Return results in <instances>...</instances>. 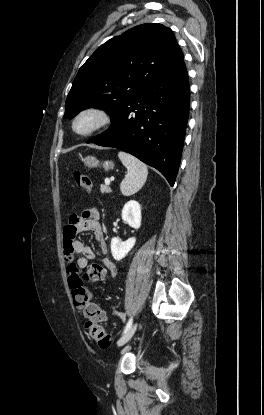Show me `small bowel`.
<instances>
[{
	"label": "small bowel",
	"mask_w": 264,
	"mask_h": 415,
	"mask_svg": "<svg viewBox=\"0 0 264 415\" xmlns=\"http://www.w3.org/2000/svg\"><path fill=\"white\" fill-rule=\"evenodd\" d=\"M100 211L97 208H89L81 215H72L64 230V258L66 262L74 264L78 270L86 268L90 260L95 258V251L76 238L79 232L89 231L93 234L101 253H107V244L99 223ZM103 263L110 274L116 275V267L109 258H104ZM101 310V309H100ZM103 313L102 321L106 320V312Z\"/></svg>",
	"instance_id": "small-bowel-1"
}]
</instances>
